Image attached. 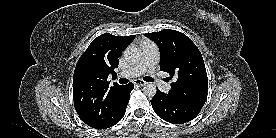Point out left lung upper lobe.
<instances>
[{
  "instance_id": "left-lung-upper-lobe-1",
  "label": "left lung upper lobe",
  "mask_w": 276,
  "mask_h": 138,
  "mask_svg": "<svg viewBox=\"0 0 276 138\" xmlns=\"http://www.w3.org/2000/svg\"><path fill=\"white\" fill-rule=\"evenodd\" d=\"M160 50V70L169 73V95L203 107L207 99L208 79L203 57L196 45L183 33L171 29L146 33Z\"/></svg>"
}]
</instances>
